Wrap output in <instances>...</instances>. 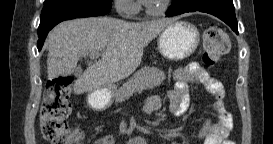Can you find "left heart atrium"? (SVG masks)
<instances>
[{"label":"left heart atrium","mask_w":273,"mask_h":144,"mask_svg":"<svg viewBox=\"0 0 273 144\" xmlns=\"http://www.w3.org/2000/svg\"><path fill=\"white\" fill-rule=\"evenodd\" d=\"M152 0H142V2H144V4H149Z\"/></svg>","instance_id":"39dd6f15"}]
</instances>
